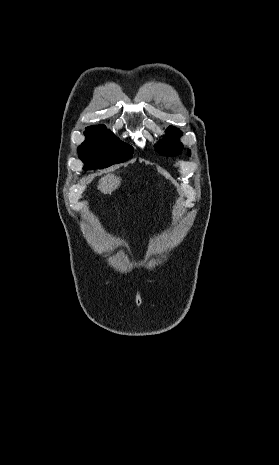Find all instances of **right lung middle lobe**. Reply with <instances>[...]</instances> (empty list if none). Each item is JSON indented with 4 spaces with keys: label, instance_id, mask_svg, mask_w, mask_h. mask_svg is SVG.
Listing matches in <instances>:
<instances>
[{
    "label": "right lung middle lobe",
    "instance_id": "obj_1",
    "mask_svg": "<svg viewBox=\"0 0 279 465\" xmlns=\"http://www.w3.org/2000/svg\"><path fill=\"white\" fill-rule=\"evenodd\" d=\"M86 140L78 147L84 170L106 168L132 157L133 148L118 140L105 126L86 129Z\"/></svg>",
    "mask_w": 279,
    "mask_h": 465
}]
</instances>
